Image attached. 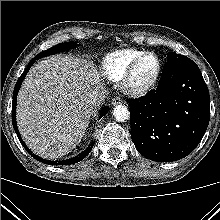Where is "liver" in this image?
Here are the masks:
<instances>
[{
    "instance_id": "liver-1",
    "label": "liver",
    "mask_w": 220,
    "mask_h": 220,
    "mask_svg": "<svg viewBox=\"0 0 220 220\" xmlns=\"http://www.w3.org/2000/svg\"><path fill=\"white\" fill-rule=\"evenodd\" d=\"M101 87L91 62L53 55L35 64L17 98L19 132L36 155L56 159L81 141L94 113L90 93Z\"/></svg>"
}]
</instances>
